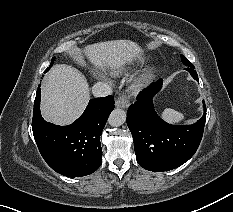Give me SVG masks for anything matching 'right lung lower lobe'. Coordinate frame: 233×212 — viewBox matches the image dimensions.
I'll return each instance as SVG.
<instances>
[{
    "label": "right lung lower lobe",
    "instance_id": "right-lung-lower-lobe-1",
    "mask_svg": "<svg viewBox=\"0 0 233 212\" xmlns=\"http://www.w3.org/2000/svg\"><path fill=\"white\" fill-rule=\"evenodd\" d=\"M40 91L38 88L34 102L32 130L46 163L67 177H81L95 172L102 163L99 137L114 109L113 97L90 100L84 113L74 123L57 126L41 116Z\"/></svg>",
    "mask_w": 233,
    "mask_h": 212
}]
</instances>
